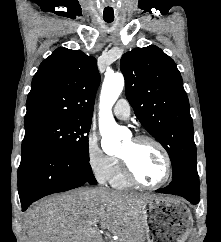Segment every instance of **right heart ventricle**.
Instances as JSON below:
<instances>
[{
  "mask_svg": "<svg viewBox=\"0 0 221 242\" xmlns=\"http://www.w3.org/2000/svg\"><path fill=\"white\" fill-rule=\"evenodd\" d=\"M110 183L115 188H129L133 185L132 182L126 177L121 162L118 158H116L115 166L113 169V173L110 177Z\"/></svg>",
  "mask_w": 221,
  "mask_h": 242,
  "instance_id": "e07e8e85",
  "label": "right heart ventricle"
}]
</instances>
